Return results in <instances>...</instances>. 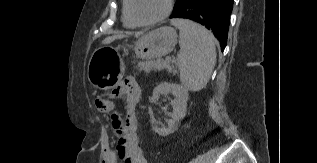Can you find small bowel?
<instances>
[{
	"mask_svg": "<svg viewBox=\"0 0 317 163\" xmlns=\"http://www.w3.org/2000/svg\"><path fill=\"white\" fill-rule=\"evenodd\" d=\"M116 97L126 99L127 118L116 146L107 139L103 149L102 163H147L138 144L136 134V105L140 100L141 91L133 78H126L114 89Z\"/></svg>",
	"mask_w": 317,
	"mask_h": 163,
	"instance_id": "1",
	"label": "small bowel"
}]
</instances>
